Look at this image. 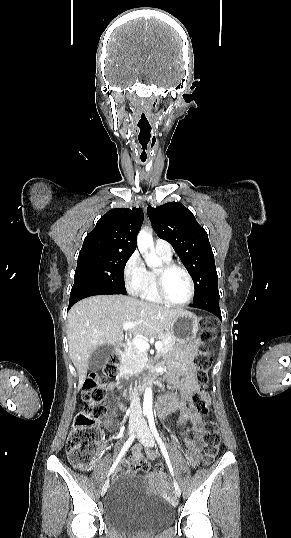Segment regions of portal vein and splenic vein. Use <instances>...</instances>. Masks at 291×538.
<instances>
[{
  "label": "portal vein and splenic vein",
  "instance_id": "1",
  "mask_svg": "<svg viewBox=\"0 0 291 538\" xmlns=\"http://www.w3.org/2000/svg\"><path fill=\"white\" fill-rule=\"evenodd\" d=\"M136 324L132 322H127L123 325L124 330H129L130 328L134 327ZM132 344L135 345L138 349L141 350H147L150 348V345L147 341L142 340L140 338H135L132 340ZM163 343L161 341H157L155 343V348L160 349L162 347Z\"/></svg>",
  "mask_w": 291,
  "mask_h": 538
}]
</instances>
